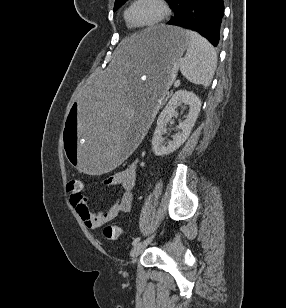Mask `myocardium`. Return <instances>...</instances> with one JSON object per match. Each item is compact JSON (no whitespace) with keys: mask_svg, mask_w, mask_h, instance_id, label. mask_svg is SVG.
Masks as SVG:
<instances>
[{"mask_svg":"<svg viewBox=\"0 0 286 308\" xmlns=\"http://www.w3.org/2000/svg\"><path fill=\"white\" fill-rule=\"evenodd\" d=\"M138 1L139 0H132L131 3L129 4V6L127 7L126 11H125V21L128 24V26L133 28V29H148V28L156 27V26L160 25L162 22H164L165 19L168 17L169 13H170L169 6H168V4L166 3L165 0H155V2L159 5V7L161 9L160 16L155 21H153L151 23L144 24V25H135L130 20V11H131L132 7Z\"/></svg>","mask_w":286,"mask_h":308,"instance_id":"myocardium-1","label":"myocardium"}]
</instances>
